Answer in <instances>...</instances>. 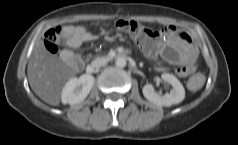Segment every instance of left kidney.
<instances>
[{
    "instance_id": "5707ae66",
    "label": "left kidney",
    "mask_w": 238,
    "mask_h": 145,
    "mask_svg": "<svg viewBox=\"0 0 238 145\" xmlns=\"http://www.w3.org/2000/svg\"><path fill=\"white\" fill-rule=\"evenodd\" d=\"M161 78L172 86L170 93L162 95L157 93L151 84H146L142 89L145 98L158 106H171L182 102L185 98V90L181 82L168 73H163Z\"/></svg>"
}]
</instances>
